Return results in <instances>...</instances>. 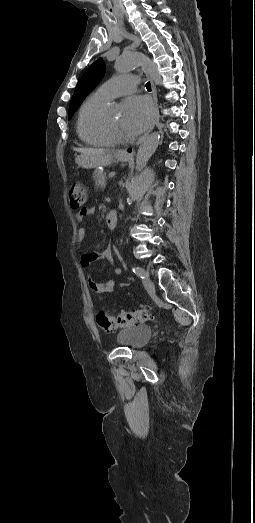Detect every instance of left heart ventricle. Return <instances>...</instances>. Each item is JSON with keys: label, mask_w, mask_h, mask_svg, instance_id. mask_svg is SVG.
Listing matches in <instances>:
<instances>
[{"label": "left heart ventricle", "mask_w": 255, "mask_h": 523, "mask_svg": "<svg viewBox=\"0 0 255 523\" xmlns=\"http://www.w3.org/2000/svg\"><path fill=\"white\" fill-rule=\"evenodd\" d=\"M107 115L114 122V124L116 125L119 133L122 136H125V137H129L130 136V131L128 130V128L126 126V123L124 121V116H123L122 110L121 111H113V112L108 113Z\"/></svg>", "instance_id": "b2bd125f"}]
</instances>
